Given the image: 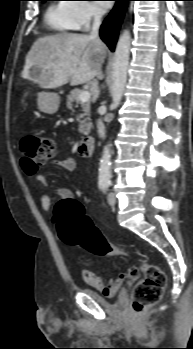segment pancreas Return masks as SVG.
<instances>
[{
    "label": "pancreas",
    "mask_w": 193,
    "mask_h": 349,
    "mask_svg": "<svg viewBox=\"0 0 193 349\" xmlns=\"http://www.w3.org/2000/svg\"><path fill=\"white\" fill-rule=\"evenodd\" d=\"M81 92L82 91L79 89L72 90L70 94L67 96L66 106L71 112H73L74 111L73 104L74 103L81 104L82 111L84 113L80 114V117L83 118V121L79 125V132L84 135H88L92 127V123L90 122V102L89 101L82 102L79 99V95Z\"/></svg>",
    "instance_id": "obj_1"
}]
</instances>
